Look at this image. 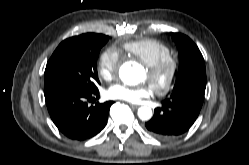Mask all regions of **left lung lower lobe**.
<instances>
[{"instance_id": "0a47b994", "label": "left lung lower lobe", "mask_w": 249, "mask_h": 165, "mask_svg": "<svg viewBox=\"0 0 249 165\" xmlns=\"http://www.w3.org/2000/svg\"><path fill=\"white\" fill-rule=\"evenodd\" d=\"M204 94L188 91L172 95L163 101L162 108H156L154 116L145 123L147 130L163 140L174 139L193 125L199 115Z\"/></svg>"}]
</instances>
